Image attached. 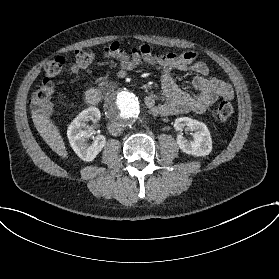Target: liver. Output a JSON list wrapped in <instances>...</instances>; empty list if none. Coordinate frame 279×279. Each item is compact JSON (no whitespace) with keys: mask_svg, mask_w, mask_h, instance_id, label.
Segmentation results:
<instances>
[{"mask_svg":"<svg viewBox=\"0 0 279 279\" xmlns=\"http://www.w3.org/2000/svg\"><path fill=\"white\" fill-rule=\"evenodd\" d=\"M41 110H32L33 123L43 140L49 147L62 158L68 153L58 128L44 115L39 114Z\"/></svg>","mask_w":279,"mask_h":279,"instance_id":"1","label":"liver"}]
</instances>
